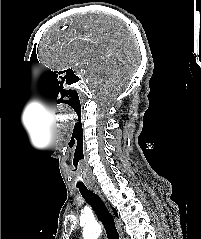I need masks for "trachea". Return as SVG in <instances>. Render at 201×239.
<instances>
[{"label": "trachea", "instance_id": "trachea-1", "mask_svg": "<svg viewBox=\"0 0 201 239\" xmlns=\"http://www.w3.org/2000/svg\"><path fill=\"white\" fill-rule=\"evenodd\" d=\"M78 189L86 200V202L93 208L98 219L104 226L108 239H120L119 233L115 226V221L112 214L109 212L105 203L95 193L87 189L85 186H78Z\"/></svg>", "mask_w": 201, "mask_h": 239}]
</instances>
